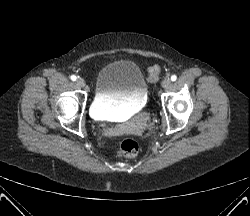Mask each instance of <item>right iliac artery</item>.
Here are the masks:
<instances>
[{
    "label": "right iliac artery",
    "instance_id": "obj_1",
    "mask_svg": "<svg viewBox=\"0 0 250 216\" xmlns=\"http://www.w3.org/2000/svg\"><path fill=\"white\" fill-rule=\"evenodd\" d=\"M70 78L72 81H75L77 79V77L75 75H72Z\"/></svg>",
    "mask_w": 250,
    "mask_h": 216
}]
</instances>
